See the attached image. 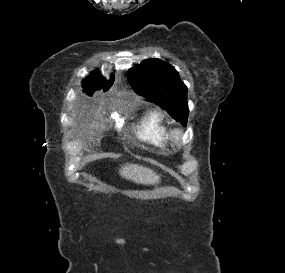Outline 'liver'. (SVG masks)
<instances>
[{"instance_id":"1","label":"liver","mask_w":285,"mask_h":273,"mask_svg":"<svg viewBox=\"0 0 285 273\" xmlns=\"http://www.w3.org/2000/svg\"><path fill=\"white\" fill-rule=\"evenodd\" d=\"M120 175L138 184L153 185L159 183L160 176L153 170L138 164H126L119 170Z\"/></svg>"}]
</instances>
